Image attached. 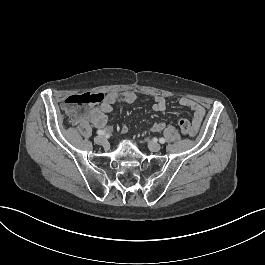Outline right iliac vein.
<instances>
[{
  "label": "right iliac vein",
  "mask_w": 265,
  "mask_h": 265,
  "mask_svg": "<svg viewBox=\"0 0 265 265\" xmlns=\"http://www.w3.org/2000/svg\"><path fill=\"white\" fill-rule=\"evenodd\" d=\"M105 137L102 136V135H98L94 138V142L97 143V144H104L105 143Z\"/></svg>",
  "instance_id": "63e3f726"
}]
</instances>
